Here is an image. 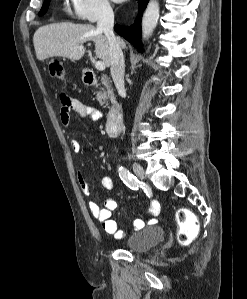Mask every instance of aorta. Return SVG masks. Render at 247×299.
I'll use <instances>...</instances> for the list:
<instances>
[{
  "mask_svg": "<svg viewBox=\"0 0 247 299\" xmlns=\"http://www.w3.org/2000/svg\"><path fill=\"white\" fill-rule=\"evenodd\" d=\"M159 16V4L156 0H150L142 19V37L148 39L155 27Z\"/></svg>",
  "mask_w": 247,
  "mask_h": 299,
  "instance_id": "762f6f07",
  "label": "aorta"
}]
</instances>
